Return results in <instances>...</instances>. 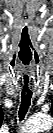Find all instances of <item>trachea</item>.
<instances>
[{
    "instance_id": "obj_1",
    "label": "trachea",
    "mask_w": 53,
    "mask_h": 133,
    "mask_svg": "<svg viewBox=\"0 0 53 133\" xmlns=\"http://www.w3.org/2000/svg\"><path fill=\"white\" fill-rule=\"evenodd\" d=\"M32 97V91L30 89H23L21 93V105L19 109V120L22 121L29 109Z\"/></svg>"
}]
</instances>
